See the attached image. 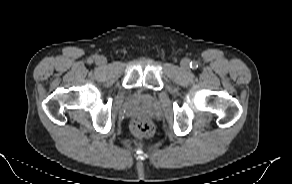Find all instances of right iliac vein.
Returning a JSON list of instances; mask_svg holds the SVG:
<instances>
[{
	"instance_id": "63e3f726",
	"label": "right iliac vein",
	"mask_w": 292,
	"mask_h": 184,
	"mask_svg": "<svg viewBox=\"0 0 292 184\" xmlns=\"http://www.w3.org/2000/svg\"><path fill=\"white\" fill-rule=\"evenodd\" d=\"M96 62L98 65H104L106 63V59L104 57H98Z\"/></svg>"
}]
</instances>
